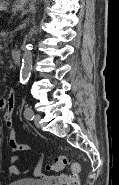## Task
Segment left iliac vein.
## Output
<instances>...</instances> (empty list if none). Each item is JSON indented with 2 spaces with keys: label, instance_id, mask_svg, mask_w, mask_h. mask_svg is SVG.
<instances>
[{
  "label": "left iliac vein",
  "instance_id": "obj_1",
  "mask_svg": "<svg viewBox=\"0 0 119 185\" xmlns=\"http://www.w3.org/2000/svg\"><path fill=\"white\" fill-rule=\"evenodd\" d=\"M40 119H41V116L39 114H36L34 116V124L36 127L40 128Z\"/></svg>",
  "mask_w": 119,
  "mask_h": 185
}]
</instances>
